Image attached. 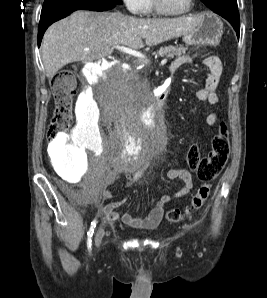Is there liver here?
I'll use <instances>...</instances> for the list:
<instances>
[{"instance_id":"1","label":"liver","mask_w":267,"mask_h":298,"mask_svg":"<svg viewBox=\"0 0 267 298\" xmlns=\"http://www.w3.org/2000/svg\"><path fill=\"white\" fill-rule=\"evenodd\" d=\"M200 18L182 16L165 19H139L119 12L76 11L52 24L42 40V60L47 77L65 65L91 62L109 56L114 46L133 49L154 46L193 32Z\"/></svg>"}]
</instances>
